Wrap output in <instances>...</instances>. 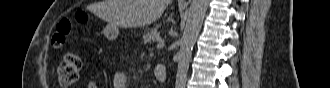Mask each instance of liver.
<instances>
[{"instance_id":"1","label":"liver","mask_w":330,"mask_h":88,"mask_svg":"<svg viewBox=\"0 0 330 88\" xmlns=\"http://www.w3.org/2000/svg\"><path fill=\"white\" fill-rule=\"evenodd\" d=\"M171 0H104L98 5V15L123 28L153 23L161 17Z\"/></svg>"}]
</instances>
